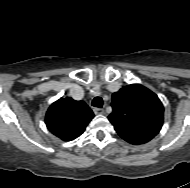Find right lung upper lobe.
I'll return each instance as SVG.
<instances>
[{
    "label": "right lung upper lobe",
    "mask_w": 190,
    "mask_h": 188,
    "mask_svg": "<svg viewBox=\"0 0 190 188\" xmlns=\"http://www.w3.org/2000/svg\"><path fill=\"white\" fill-rule=\"evenodd\" d=\"M92 110L83 101L60 98L49 107L45 123L48 130L63 141L79 137L93 119Z\"/></svg>",
    "instance_id": "right-lung-upper-lobe-1"
}]
</instances>
